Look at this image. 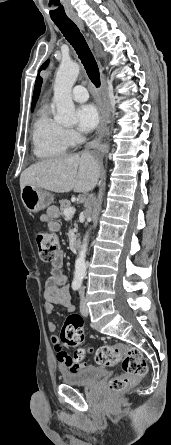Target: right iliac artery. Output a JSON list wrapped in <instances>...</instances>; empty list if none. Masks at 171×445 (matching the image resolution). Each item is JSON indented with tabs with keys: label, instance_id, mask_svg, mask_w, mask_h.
I'll return each instance as SVG.
<instances>
[{
	"label": "right iliac artery",
	"instance_id": "right-iliac-artery-1",
	"mask_svg": "<svg viewBox=\"0 0 171 445\" xmlns=\"http://www.w3.org/2000/svg\"><path fill=\"white\" fill-rule=\"evenodd\" d=\"M72 289H73L74 291L78 290V289H79V285H77V284H73V285H72Z\"/></svg>",
	"mask_w": 171,
	"mask_h": 445
}]
</instances>
